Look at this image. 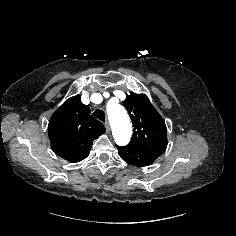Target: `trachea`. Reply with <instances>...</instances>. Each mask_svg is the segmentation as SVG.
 Segmentation results:
<instances>
[{
    "instance_id": "3493384b",
    "label": "trachea",
    "mask_w": 236,
    "mask_h": 236,
    "mask_svg": "<svg viewBox=\"0 0 236 236\" xmlns=\"http://www.w3.org/2000/svg\"><path fill=\"white\" fill-rule=\"evenodd\" d=\"M92 115L103 122L105 121V113L102 110H96Z\"/></svg>"
}]
</instances>
